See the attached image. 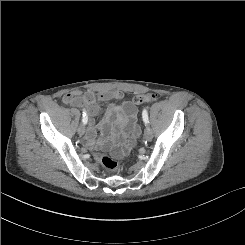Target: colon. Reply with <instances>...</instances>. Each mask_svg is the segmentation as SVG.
Wrapping results in <instances>:
<instances>
[{"mask_svg": "<svg viewBox=\"0 0 245 245\" xmlns=\"http://www.w3.org/2000/svg\"><path fill=\"white\" fill-rule=\"evenodd\" d=\"M156 99L155 94H139L133 97V102L135 104H142L152 102ZM95 159L98 163H100L105 169L113 171L117 168L118 162L109 156H102L99 154L95 155Z\"/></svg>", "mask_w": 245, "mask_h": 245, "instance_id": "5ec220e1", "label": "colon"}]
</instances>
